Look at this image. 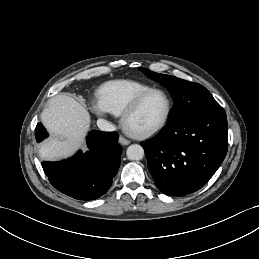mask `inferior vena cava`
<instances>
[{
  "mask_svg": "<svg viewBox=\"0 0 259 259\" xmlns=\"http://www.w3.org/2000/svg\"><path fill=\"white\" fill-rule=\"evenodd\" d=\"M97 126L99 127L100 130L106 131V132H111L116 130V127L105 119H98Z\"/></svg>",
  "mask_w": 259,
  "mask_h": 259,
  "instance_id": "obj_1",
  "label": "inferior vena cava"
}]
</instances>
